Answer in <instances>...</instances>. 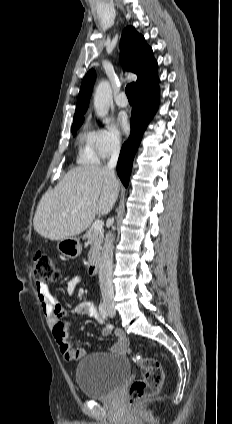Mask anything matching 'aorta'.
Masks as SVG:
<instances>
[{
    "label": "aorta",
    "instance_id": "aorta-1",
    "mask_svg": "<svg viewBox=\"0 0 232 424\" xmlns=\"http://www.w3.org/2000/svg\"><path fill=\"white\" fill-rule=\"evenodd\" d=\"M112 101V90L108 81H101L95 91L94 108L97 115L103 118L104 122H108L106 115L109 111V106Z\"/></svg>",
    "mask_w": 232,
    "mask_h": 424
}]
</instances>
